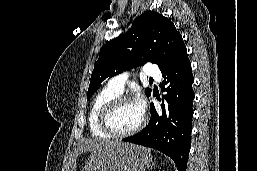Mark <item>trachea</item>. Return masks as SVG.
Wrapping results in <instances>:
<instances>
[{
  "instance_id": "obj_1",
  "label": "trachea",
  "mask_w": 257,
  "mask_h": 171,
  "mask_svg": "<svg viewBox=\"0 0 257 171\" xmlns=\"http://www.w3.org/2000/svg\"><path fill=\"white\" fill-rule=\"evenodd\" d=\"M149 81H153V79L150 78Z\"/></svg>"
}]
</instances>
